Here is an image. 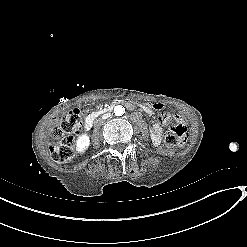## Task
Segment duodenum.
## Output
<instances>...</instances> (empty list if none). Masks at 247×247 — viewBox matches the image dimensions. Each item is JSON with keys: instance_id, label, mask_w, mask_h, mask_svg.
<instances>
[{"instance_id": "duodenum-1", "label": "duodenum", "mask_w": 247, "mask_h": 247, "mask_svg": "<svg viewBox=\"0 0 247 247\" xmlns=\"http://www.w3.org/2000/svg\"><path fill=\"white\" fill-rule=\"evenodd\" d=\"M116 104L117 103H114V104H112V105H110V106H108L102 110L95 111V112L91 113L90 115H88L87 118L85 119V122H84L85 129L86 130L91 129L96 118L102 114H106V113L111 112ZM129 105H131V104L129 103Z\"/></svg>"}]
</instances>
